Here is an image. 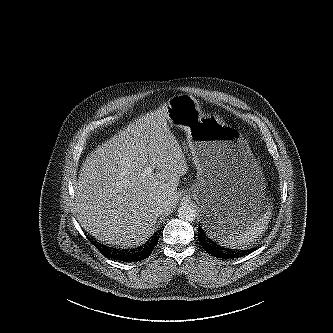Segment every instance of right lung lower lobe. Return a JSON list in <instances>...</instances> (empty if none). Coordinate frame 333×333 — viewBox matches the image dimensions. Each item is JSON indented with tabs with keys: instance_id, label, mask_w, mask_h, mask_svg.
<instances>
[{
	"instance_id": "obj_1",
	"label": "right lung lower lobe",
	"mask_w": 333,
	"mask_h": 333,
	"mask_svg": "<svg viewBox=\"0 0 333 333\" xmlns=\"http://www.w3.org/2000/svg\"><path fill=\"white\" fill-rule=\"evenodd\" d=\"M159 236L154 234L152 238L143 247L133 253L121 254L102 245L97 247L99 251L107 258H113L119 261H139L147 258L158 243Z\"/></svg>"
}]
</instances>
